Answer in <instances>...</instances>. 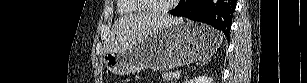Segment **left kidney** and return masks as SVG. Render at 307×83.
I'll use <instances>...</instances> for the list:
<instances>
[{
	"instance_id": "left-kidney-1",
	"label": "left kidney",
	"mask_w": 307,
	"mask_h": 83,
	"mask_svg": "<svg viewBox=\"0 0 307 83\" xmlns=\"http://www.w3.org/2000/svg\"><path fill=\"white\" fill-rule=\"evenodd\" d=\"M188 83H214L213 79L208 76H198L192 78Z\"/></svg>"
}]
</instances>
